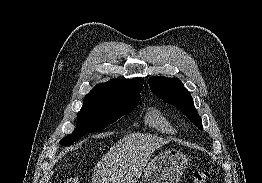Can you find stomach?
I'll return each instance as SVG.
<instances>
[{
    "instance_id": "obj_1",
    "label": "stomach",
    "mask_w": 262,
    "mask_h": 183,
    "mask_svg": "<svg viewBox=\"0 0 262 183\" xmlns=\"http://www.w3.org/2000/svg\"><path fill=\"white\" fill-rule=\"evenodd\" d=\"M188 160L178 150H165L155 156L144 170L140 183H178Z\"/></svg>"
}]
</instances>
